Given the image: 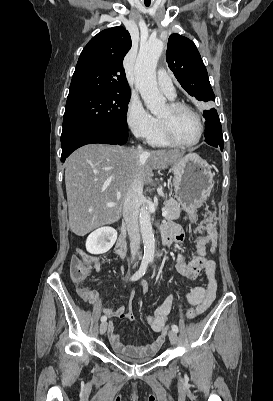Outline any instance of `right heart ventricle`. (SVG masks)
Masks as SVG:
<instances>
[{"mask_svg": "<svg viewBox=\"0 0 273 401\" xmlns=\"http://www.w3.org/2000/svg\"><path fill=\"white\" fill-rule=\"evenodd\" d=\"M147 140L150 145L155 146V147H175L176 146L165 138V136L162 132L160 123H159V119H157V118H156V125L154 128V131L152 132V134L149 136V138Z\"/></svg>", "mask_w": 273, "mask_h": 401, "instance_id": "right-heart-ventricle-1", "label": "right heart ventricle"}]
</instances>
